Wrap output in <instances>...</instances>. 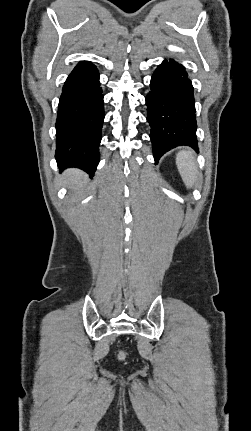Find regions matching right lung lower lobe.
Listing matches in <instances>:
<instances>
[{
	"label": "right lung lower lobe",
	"mask_w": 251,
	"mask_h": 431,
	"mask_svg": "<svg viewBox=\"0 0 251 431\" xmlns=\"http://www.w3.org/2000/svg\"><path fill=\"white\" fill-rule=\"evenodd\" d=\"M104 116L98 70L80 62L66 79L58 105L55 157L61 171L77 167L93 177Z\"/></svg>",
	"instance_id": "obj_1"
}]
</instances>
